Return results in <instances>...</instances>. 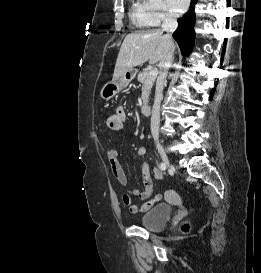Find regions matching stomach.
Returning <instances> with one entry per match:
<instances>
[{"mask_svg":"<svg viewBox=\"0 0 261 273\" xmlns=\"http://www.w3.org/2000/svg\"><path fill=\"white\" fill-rule=\"evenodd\" d=\"M136 72V69H132L124 73V75L116 81L107 82L100 91V97L106 101L113 98L122 89L127 87V85L134 79Z\"/></svg>","mask_w":261,"mask_h":273,"instance_id":"0dacf381","label":"stomach"}]
</instances>
